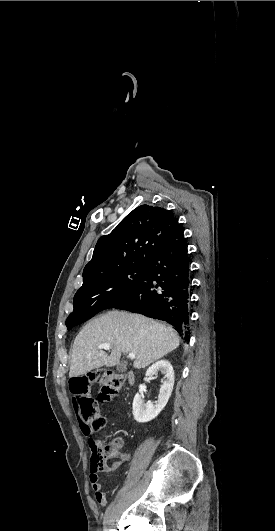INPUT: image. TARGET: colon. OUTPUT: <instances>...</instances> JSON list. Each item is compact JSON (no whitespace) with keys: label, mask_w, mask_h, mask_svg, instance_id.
<instances>
[{"label":"colon","mask_w":275,"mask_h":531,"mask_svg":"<svg viewBox=\"0 0 275 531\" xmlns=\"http://www.w3.org/2000/svg\"><path fill=\"white\" fill-rule=\"evenodd\" d=\"M90 376L75 375L72 377V396L80 399L77 418L86 424L91 423V428L95 432L100 425V421H105V416L98 410L95 396L92 394V382L100 385L99 398L103 401L110 399L124 385V378L119 373L101 369L97 372H89ZM120 452V440L106 439L103 442V450L99 459L98 470L105 469L106 472L118 466L117 456Z\"/></svg>","instance_id":"1"}]
</instances>
